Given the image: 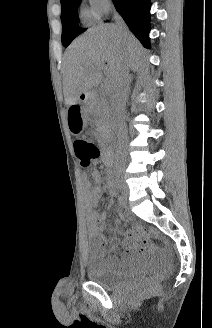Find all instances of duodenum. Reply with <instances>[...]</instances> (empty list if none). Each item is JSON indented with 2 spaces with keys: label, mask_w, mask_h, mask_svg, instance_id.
Masks as SVG:
<instances>
[{
  "label": "duodenum",
  "mask_w": 212,
  "mask_h": 328,
  "mask_svg": "<svg viewBox=\"0 0 212 328\" xmlns=\"http://www.w3.org/2000/svg\"><path fill=\"white\" fill-rule=\"evenodd\" d=\"M103 96H108V93L107 92H104L103 93ZM88 95H85V97L81 98L82 101H86L88 100ZM103 157L105 159V161L107 163L110 162V151H109V147H106L104 150H103Z\"/></svg>",
  "instance_id": "410a0bca"
}]
</instances>
